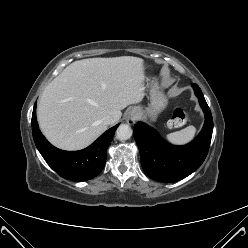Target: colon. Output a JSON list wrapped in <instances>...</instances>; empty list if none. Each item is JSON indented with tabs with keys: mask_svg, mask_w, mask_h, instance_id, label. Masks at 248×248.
Masks as SVG:
<instances>
[{
	"mask_svg": "<svg viewBox=\"0 0 248 248\" xmlns=\"http://www.w3.org/2000/svg\"><path fill=\"white\" fill-rule=\"evenodd\" d=\"M188 118V111L186 109L178 108L174 110L171 119L169 120V125L171 127L181 126L187 122Z\"/></svg>",
	"mask_w": 248,
	"mask_h": 248,
	"instance_id": "1",
	"label": "colon"
}]
</instances>
